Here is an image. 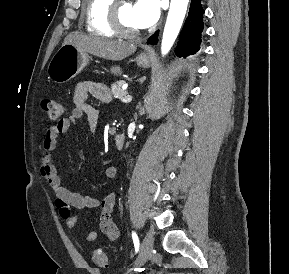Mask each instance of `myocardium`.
I'll return each mask as SVG.
<instances>
[{"label":"myocardium","instance_id":"obj_1","mask_svg":"<svg viewBox=\"0 0 289 274\" xmlns=\"http://www.w3.org/2000/svg\"><path fill=\"white\" fill-rule=\"evenodd\" d=\"M125 2L123 0H114L109 12V21L112 30L116 35L125 37V38H135L140 35V30H133L127 28L120 17V5Z\"/></svg>","mask_w":289,"mask_h":274}]
</instances>
